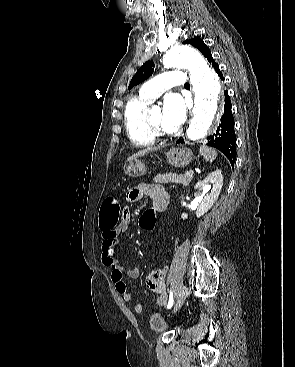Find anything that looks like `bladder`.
<instances>
[{"mask_svg":"<svg viewBox=\"0 0 295 367\" xmlns=\"http://www.w3.org/2000/svg\"><path fill=\"white\" fill-rule=\"evenodd\" d=\"M149 325L154 332H160L166 329L167 323L164 317L159 313H154L150 316Z\"/></svg>","mask_w":295,"mask_h":367,"instance_id":"31cf9c89","label":"bladder"}]
</instances>
